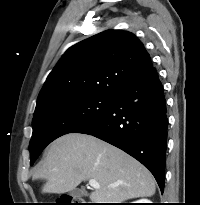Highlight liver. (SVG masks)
Returning a JSON list of instances; mask_svg holds the SVG:
<instances>
[{
    "mask_svg": "<svg viewBox=\"0 0 200 205\" xmlns=\"http://www.w3.org/2000/svg\"><path fill=\"white\" fill-rule=\"evenodd\" d=\"M33 179L46 181L42 193L55 194L69 192L82 181L94 179L100 188L90 194L93 203H122L150 197L156 190L152 174L140 162L115 146L80 133L54 140Z\"/></svg>",
    "mask_w": 200,
    "mask_h": 205,
    "instance_id": "6515ba94",
    "label": "liver"
}]
</instances>
